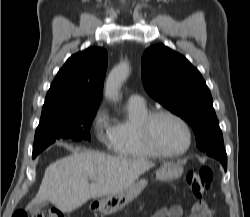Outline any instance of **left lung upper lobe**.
Instances as JSON below:
<instances>
[{
	"label": "left lung upper lobe",
	"instance_id": "1",
	"mask_svg": "<svg viewBox=\"0 0 250 217\" xmlns=\"http://www.w3.org/2000/svg\"><path fill=\"white\" fill-rule=\"evenodd\" d=\"M142 80L153 99L192 127L201 151L223 147L209 88L183 55L163 44L149 47L142 57Z\"/></svg>",
	"mask_w": 250,
	"mask_h": 217
}]
</instances>
